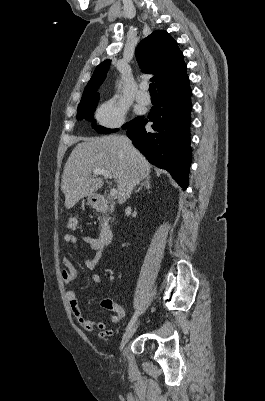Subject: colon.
<instances>
[{
    "instance_id": "5ec220e1",
    "label": "colon",
    "mask_w": 265,
    "mask_h": 401,
    "mask_svg": "<svg viewBox=\"0 0 265 401\" xmlns=\"http://www.w3.org/2000/svg\"><path fill=\"white\" fill-rule=\"evenodd\" d=\"M76 227H77V218L75 216L68 217V219H67V228L70 229V230H74V229H76ZM104 304L110 310H116L117 306H118L117 304H115V303H113L111 301H108V300H106L104 302Z\"/></svg>"
}]
</instances>
